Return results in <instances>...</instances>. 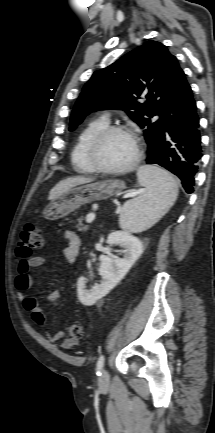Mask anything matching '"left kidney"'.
Here are the masks:
<instances>
[{
  "label": "left kidney",
  "mask_w": 215,
  "mask_h": 433,
  "mask_svg": "<svg viewBox=\"0 0 215 433\" xmlns=\"http://www.w3.org/2000/svg\"><path fill=\"white\" fill-rule=\"evenodd\" d=\"M109 246L120 245L124 248L123 258L112 259L109 256H100L99 274L102 281L93 289H86L87 279L80 277L77 281V295L83 305L91 306L97 300L110 292L126 275L136 260L143 253V243L141 240L128 231H114L107 239Z\"/></svg>",
  "instance_id": "5707ae66"
}]
</instances>
